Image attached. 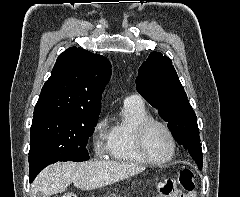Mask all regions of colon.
Returning <instances> with one entry per match:
<instances>
[{
  "mask_svg": "<svg viewBox=\"0 0 240 197\" xmlns=\"http://www.w3.org/2000/svg\"><path fill=\"white\" fill-rule=\"evenodd\" d=\"M177 182L185 192H192L196 184L194 172L189 169L182 170L179 173ZM172 190V181H168L159 186V191L162 195H168L172 192ZM60 197H77V195L75 193H66Z\"/></svg>",
  "mask_w": 240,
  "mask_h": 197,
  "instance_id": "5ec220e1",
  "label": "colon"
}]
</instances>
